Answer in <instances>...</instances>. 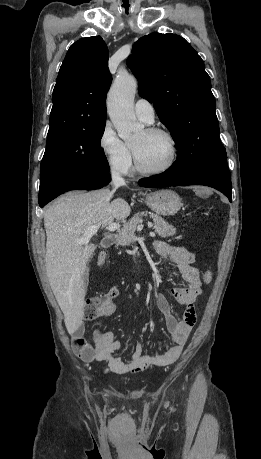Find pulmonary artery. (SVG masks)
<instances>
[{
  "label": "pulmonary artery",
  "mask_w": 261,
  "mask_h": 459,
  "mask_svg": "<svg viewBox=\"0 0 261 459\" xmlns=\"http://www.w3.org/2000/svg\"><path fill=\"white\" fill-rule=\"evenodd\" d=\"M136 116L143 122L150 124L154 121L155 110L146 99H138L134 106Z\"/></svg>",
  "instance_id": "1"
}]
</instances>
